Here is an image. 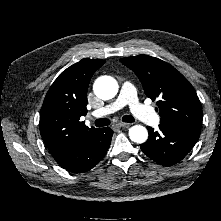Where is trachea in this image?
<instances>
[{"mask_svg":"<svg viewBox=\"0 0 221 221\" xmlns=\"http://www.w3.org/2000/svg\"><path fill=\"white\" fill-rule=\"evenodd\" d=\"M122 121L124 122H128V123H132V122H135V119L133 118V116L131 115H125L122 117ZM94 124L97 126V127H103V126H107L110 124V120L107 119V118H100V119H97Z\"/></svg>","mask_w":221,"mask_h":221,"instance_id":"trachea-1","label":"trachea"}]
</instances>
